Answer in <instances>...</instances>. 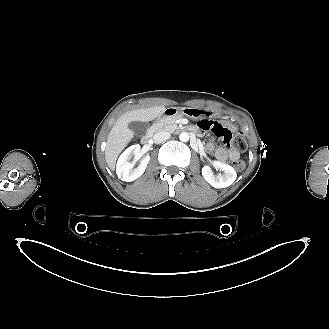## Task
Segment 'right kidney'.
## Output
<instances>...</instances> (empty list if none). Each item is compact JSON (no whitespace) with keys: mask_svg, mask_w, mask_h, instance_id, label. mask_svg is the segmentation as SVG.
Here are the masks:
<instances>
[{"mask_svg":"<svg viewBox=\"0 0 329 329\" xmlns=\"http://www.w3.org/2000/svg\"><path fill=\"white\" fill-rule=\"evenodd\" d=\"M139 154H140V145L136 144L128 147L120 155L116 167V173L119 179H121L122 181L131 182L139 178L144 173L150 160L149 155H147L145 158H143L140 161L138 167H134V164L130 162L132 157H134V161H135L139 156Z\"/></svg>","mask_w":329,"mask_h":329,"instance_id":"right-kidney-1","label":"right kidney"}]
</instances>
